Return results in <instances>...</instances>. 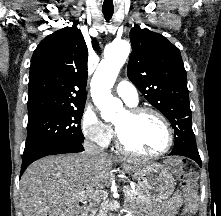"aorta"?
Masks as SVG:
<instances>
[{"label": "aorta", "instance_id": "obj_1", "mask_svg": "<svg viewBox=\"0 0 221 216\" xmlns=\"http://www.w3.org/2000/svg\"><path fill=\"white\" fill-rule=\"evenodd\" d=\"M130 48L126 40L113 41L106 48L104 59L98 65L91 80V97L105 121L113 120L123 111L122 102L112 96L111 88L130 53Z\"/></svg>", "mask_w": 221, "mask_h": 216}]
</instances>
